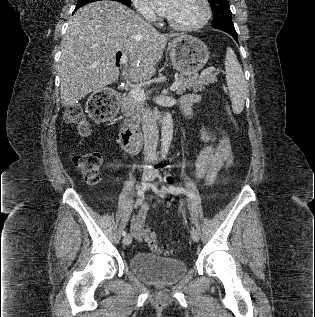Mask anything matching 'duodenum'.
I'll list each match as a JSON object with an SVG mask.
<instances>
[{"label": "duodenum", "instance_id": "410a0bca", "mask_svg": "<svg viewBox=\"0 0 315 317\" xmlns=\"http://www.w3.org/2000/svg\"><path fill=\"white\" fill-rule=\"evenodd\" d=\"M122 105L130 106L131 99L126 91H122ZM120 145L129 153H138L142 148V135L131 127H123L120 131Z\"/></svg>", "mask_w": 315, "mask_h": 317}]
</instances>
